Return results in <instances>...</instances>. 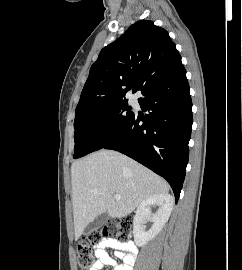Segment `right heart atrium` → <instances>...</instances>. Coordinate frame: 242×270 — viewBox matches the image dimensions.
I'll list each match as a JSON object with an SVG mask.
<instances>
[{"label": "right heart atrium", "instance_id": "obj_1", "mask_svg": "<svg viewBox=\"0 0 242 270\" xmlns=\"http://www.w3.org/2000/svg\"><path fill=\"white\" fill-rule=\"evenodd\" d=\"M107 123H108V121H107V120H105V121H104V125H107Z\"/></svg>", "mask_w": 242, "mask_h": 270}]
</instances>
